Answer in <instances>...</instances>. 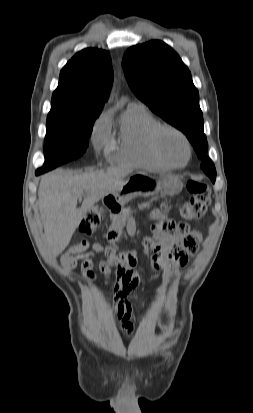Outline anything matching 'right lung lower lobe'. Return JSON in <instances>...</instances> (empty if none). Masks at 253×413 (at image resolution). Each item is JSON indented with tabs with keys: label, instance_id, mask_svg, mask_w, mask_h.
Returning a JSON list of instances; mask_svg holds the SVG:
<instances>
[{
	"label": "right lung lower lobe",
	"instance_id": "1",
	"mask_svg": "<svg viewBox=\"0 0 253 413\" xmlns=\"http://www.w3.org/2000/svg\"><path fill=\"white\" fill-rule=\"evenodd\" d=\"M42 173H44V172H40V171H36V175H39V174H42Z\"/></svg>",
	"mask_w": 253,
	"mask_h": 413
}]
</instances>
